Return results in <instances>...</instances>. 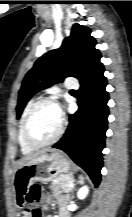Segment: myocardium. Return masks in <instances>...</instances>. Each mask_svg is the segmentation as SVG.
I'll return each instance as SVG.
<instances>
[{
  "label": "myocardium",
  "mask_w": 132,
  "mask_h": 217,
  "mask_svg": "<svg viewBox=\"0 0 132 217\" xmlns=\"http://www.w3.org/2000/svg\"><path fill=\"white\" fill-rule=\"evenodd\" d=\"M44 105H53L54 107L57 108V110L60 113V125H59V129H58L56 135L52 139H50L47 142L37 143V142L33 141L29 135V125H30V122H31L33 116ZM64 129H65V120H64L63 112H62L61 108L59 107L58 103L54 99L45 98V99H41V100L37 101L35 103V105L31 108V110L29 111V113H28V115L24 121V124H23L22 136H23V140L27 146H29L32 149H41V148H45V147H48V146L56 143L61 138V136L64 132Z\"/></svg>",
  "instance_id": "obj_1"
}]
</instances>
